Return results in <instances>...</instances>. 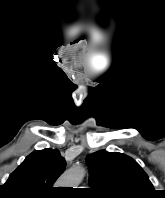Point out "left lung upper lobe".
<instances>
[{
    "label": "left lung upper lobe",
    "instance_id": "1",
    "mask_svg": "<svg viewBox=\"0 0 165 198\" xmlns=\"http://www.w3.org/2000/svg\"><path fill=\"white\" fill-rule=\"evenodd\" d=\"M86 162L90 191L98 198H152L156 193L144 170L125 154L101 150Z\"/></svg>",
    "mask_w": 165,
    "mask_h": 198
}]
</instances>
